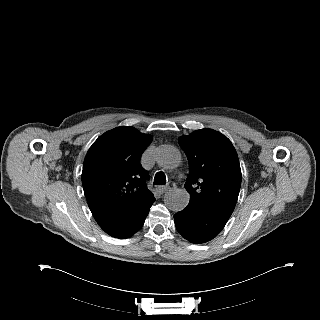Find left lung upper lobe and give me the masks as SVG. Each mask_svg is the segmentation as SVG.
<instances>
[{
    "instance_id": "obj_1",
    "label": "left lung upper lobe",
    "mask_w": 320,
    "mask_h": 320,
    "mask_svg": "<svg viewBox=\"0 0 320 320\" xmlns=\"http://www.w3.org/2000/svg\"><path fill=\"white\" fill-rule=\"evenodd\" d=\"M187 155L190 199L232 214L241 186V169L231 142L212 129L194 131L178 139Z\"/></svg>"
}]
</instances>
